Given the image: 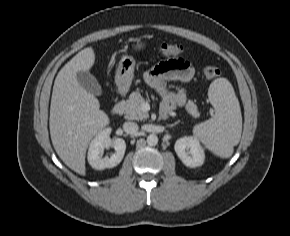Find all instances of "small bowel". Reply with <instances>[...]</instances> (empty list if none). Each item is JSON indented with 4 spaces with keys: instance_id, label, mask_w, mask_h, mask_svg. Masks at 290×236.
I'll return each instance as SVG.
<instances>
[{
    "instance_id": "obj_1",
    "label": "small bowel",
    "mask_w": 290,
    "mask_h": 236,
    "mask_svg": "<svg viewBox=\"0 0 290 236\" xmlns=\"http://www.w3.org/2000/svg\"><path fill=\"white\" fill-rule=\"evenodd\" d=\"M194 68L183 59H168L151 68L145 75V82L155 89L162 97L161 114H167L177 107L186 104L187 96L185 89L179 87L171 90L168 87L169 81L189 82L194 77Z\"/></svg>"
}]
</instances>
